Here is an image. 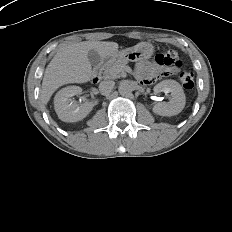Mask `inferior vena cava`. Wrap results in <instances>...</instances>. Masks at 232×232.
<instances>
[{
	"label": "inferior vena cava",
	"instance_id": "602c4592",
	"mask_svg": "<svg viewBox=\"0 0 232 232\" xmlns=\"http://www.w3.org/2000/svg\"><path fill=\"white\" fill-rule=\"evenodd\" d=\"M115 82L112 80H105L99 84V91L103 95L109 94L114 88Z\"/></svg>",
	"mask_w": 232,
	"mask_h": 232
}]
</instances>
